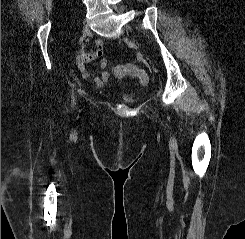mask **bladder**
Returning <instances> with one entry per match:
<instances>
[{
	"mask_svg": "<svg viewBox=\"0 0 245 239\" xmlns=\"http://www.w3.org/2000/svg\"><path fill=\"white\" fill-rule=\"evenodd\" d=\"M124 98L131 103L135 102V100L132 97L125 96Z\"/></svg>",
	"mask_w": 245,
	"mask_h": 239,
	"instance_id": "1",
	"label": "bladder"
}]
</instances>
